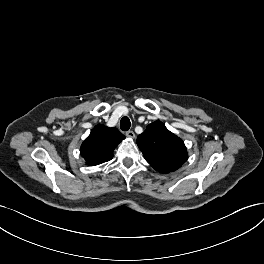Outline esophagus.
Wrapping results in <instances>:
<instances>
[{"label": "esophagus", "mask_w": 264, "mask_h": 264, "mask_svg": "<svg viewBox=\"0 0 264 264\" xmlns=\"http://www.w3.org/2000/svg\"><path fill=\"white\" fill-rule=\"evenodd\" d=\"M126 136L129 138H134L135 137V133L133 131H127L126 132Z\"/></svg>", "instance_id": "1"}]
</instances>
